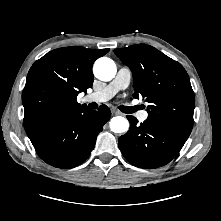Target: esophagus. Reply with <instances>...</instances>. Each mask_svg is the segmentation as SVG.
<instances>
[{
    "label": "esophagus",
    "instance_id": "obj_1",
    "mask_svg": "<svg viewBox=\"0 0 221 221\" xmlns=\"http://www.w3.org/2000/svg\"><path fill=\"white\" fill-rule=\"evenodd\" d=\"M112 113H113L114 115H120V114H121V112H119V111L116 110V109H112Z\"/></svg>",
    "mask_w": 221,
    "mask_h": 221
}]
</instances>
